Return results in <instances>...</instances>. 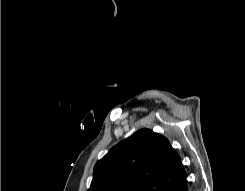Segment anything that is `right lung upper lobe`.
I'll return each instance as SVG.
<instances>
[{
    "mask_svg": "<svg viewBox=\"0 0 245 191\" xmlns=\"http://www.w3.org/2000/svg\"><path fill=\"white\" fill-rule=\"evenodd\" d=\"M185 177L169 141L141 129L97 162L88 191H167Z\"/></svg>",
    "mask_w": 245,
    "mask_h": 191,
    "instance_id": "right-lung-upper-lobe-1",
    "label": "right lung upper lobe"
}]
</instances>
